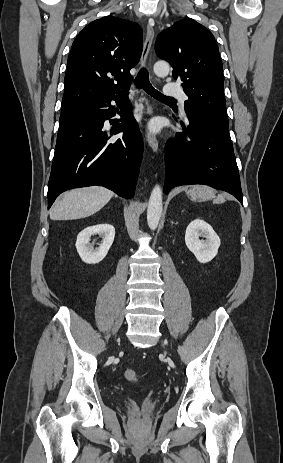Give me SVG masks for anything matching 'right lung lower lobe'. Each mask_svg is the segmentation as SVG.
I'll return each instance as SVG.
<instances>
[{
	"label": "right lung lower lobe",
	"instance_id": "obj_1",
	"mask_svg": "<svg viewBox=\"0 0 283 463\" xmlns=\"http://www.w3.org/2000/svg\"><path fill=\"white\" fill-rule=\"evenodd\" d=\"M127 91L93 99L61 114L48 183V209L62 192L100 185L131 198L139 174L143 141ZM118 104L120 110L111 105ZM116 112L121 119H107Z\"/></svg>",
	"mask_w": 283,
	"mask_h": 463
}]
</instances>
